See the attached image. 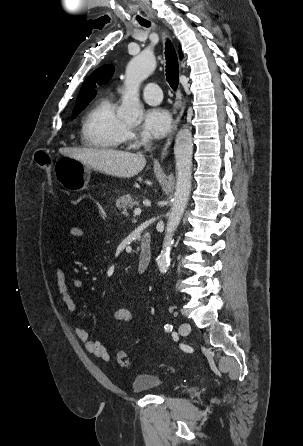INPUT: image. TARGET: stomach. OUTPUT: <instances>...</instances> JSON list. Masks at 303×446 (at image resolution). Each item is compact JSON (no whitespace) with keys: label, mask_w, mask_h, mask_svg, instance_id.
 Segmentation results:
<instances>
[{"label":"stomach","mask_w":303,"mask_h":446,"mask_svg":"<svg viewBox=\"0 0 303 446\" xmlns=\"http://www.w3.org/2000/svg\"><path fill=\"white\" fill-rule=\"evenodd\" d=\"M54 173L59 184L70 191H82L90 180L91 167L68 157H60L54 165Z\"/></svg>","instance_id":"obj_1"}]
</instances>
